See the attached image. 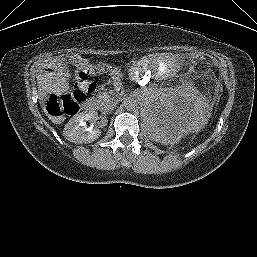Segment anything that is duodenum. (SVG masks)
<instances>
[{"label":"duodenum","instance_id":"obj_1","mask_svg":"<svg viewBox=\"0 0 257 257\" xmlns=\"http://www.w3.org/2000/svg\"><path fill=\"white\" fill-rule=\"evenodd\" d=\"M124 96H123V94L122 93H119L117 96H116V101H122V100H124ZM84 110H85V112H87V113H91V112H93L94 110H95V104H94V102H92V101H90V102H88V103H86L85 105H84Z\"/></svg>","mask_w":257,"mask_h":257}]
</instances>
